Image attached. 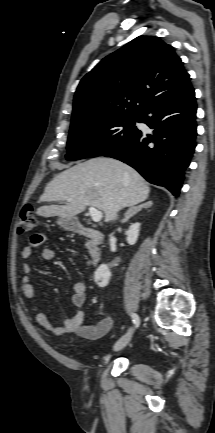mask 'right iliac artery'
<instances>
[{"instance_id": "obj_1", "label": "right iliac artery", "mask_w": 215, "mask_h": 433, "mask_svg": "<svg viewBox=\"0 0 215 433\" xmlns=\"http://www.w3.org/2000/svg\"><path fill=\"white\" fill-rule=\"evenodd\" d=\"M131 317H132V320H133V323L135 324V326L138 327L139 326V317H138V315L135 314V313H132Z\"/></svg>"}]
</instances>
